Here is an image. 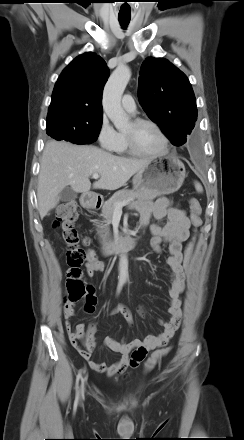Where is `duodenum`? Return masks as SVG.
<instances>
[{
    "label": "duodenum",
    "mask_w": 244,
    "mask_h": 440,
    "mask_svg": "<svg viewBox=\"0 0 244 440\" xmlns=\"http://www.w3.org/2000/svg\"><path fill=\"white\" fill-rule=\"evenodd\" d=\"M84 205L91 210H96L100 207L101 201L91 194L83 198ZM137 245V239L133 236L125 238H113L106 242L103 246V253L106 256L121 253L125 250L132 249Z\"/></svg>",
    "instance_id": "1"
}]
</instances>
